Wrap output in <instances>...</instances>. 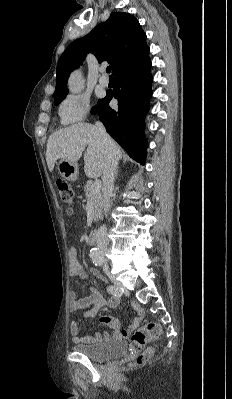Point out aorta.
Returning <instances> with one entry per match:
<instances>
[{
	"label": "aorta",
	"mask_w": 232,
	"mask_h": 399,
	"mask_svg": "<svg viewBox=\"0 0 232 399\" xmlns=\"http://www.w3.org/2000/svg\"><path fill=\"white\" fill-rule=\"evenodd\" d=\"M69 88L72 92L78 93L82 90L83 88V78L79 72H75L71 75L68 81ZM97 251L93 250V254H95Z\"/></svg>",
	"instance_id": "1"
}]
</instances>
